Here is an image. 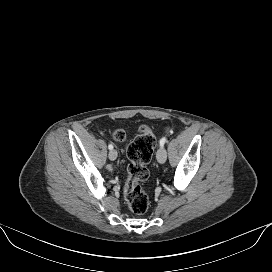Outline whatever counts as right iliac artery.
<instances>
[{
	"label": "right iliac artery",
	"instance_id": "right-iliac-artery-1",
	"mask_svg": "<svg viewBox=\"0 0 272 272\" xmlns=\"http://www.w3.org/2000/svg\"><path fill=\"white\" fill-rule=\"evenodd\" d=\"M108 148H109L110 150H112V149H113V145H112V144H109V145H108Z\"/></svg>",
	"mask_w": 272,
	"mask_h": 272
}]
</instances>
